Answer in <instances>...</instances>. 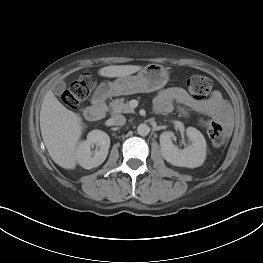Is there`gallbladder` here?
Instances as JSON below:
<instances>
[{
	"mask_svg": "<svg viewBox=\"0 0 263 263\" xmlns=\"http://www.w3.org/2000/svg\"><path fill=\"white\" fill-rule=\"evenodd\" d=\"M66 88V84L63 81H56L52 85V91L54 92L55 95L60 96Z\"/></svg>",
	"mask_w": 263,
	"mask_h": 263,
	"instance_id": "bac80fb5",
	"label": "gallbladder"
}]
</instances>
